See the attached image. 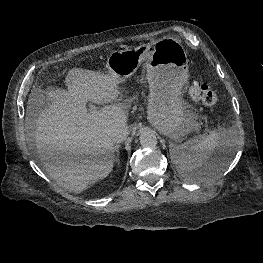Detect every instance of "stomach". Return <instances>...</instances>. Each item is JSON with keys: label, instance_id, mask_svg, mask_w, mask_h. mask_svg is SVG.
Wrapping results in <instances>:
<instances>
[{"label": "stomach", "instance_id": "1", "mask_svg": "<svg viewBox=\"0 0 263 263\" xmlns=\"http://www.w3.org/2000/svg\"><path fill=\"white\" fill-rule=\"evenodd\" d=\"M142 63L146 64L149 85L148 120L164 135L180 141L196 129L181 97L189 77L187 51L177 39L164 37L150 44L111 52L106 68L119 84L130 78Z\"/></svg>", "mask_w": 263, "mask_h": 263}]
</instances>
